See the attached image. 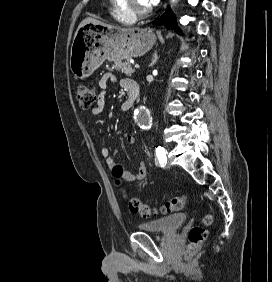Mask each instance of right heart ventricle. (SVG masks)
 I'll use <instances>...</instances> for the list:
<instances>
[{
  "instance_id": "obj_1",
  "label": "right heart ventricle",
  "mask_w": 272,
  "mask_h": 282,
  "mask_svg": "<svg viewBox=\"0 0 272 282\" xmlns=\"http://www.w3.org/2000/svg\"><path fill=\"white\" fill-rule=\"evenodd\" d=\"M110 1L112 15L118 22L129 25L135 21V17L128 13V11L124 8L123 0Z\"/></svg>"
}]
</instances>
